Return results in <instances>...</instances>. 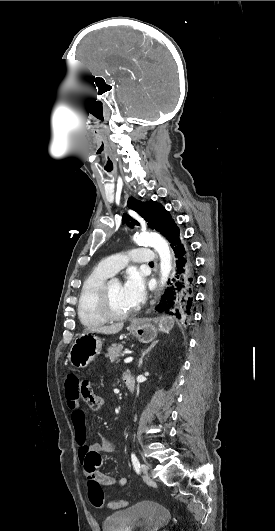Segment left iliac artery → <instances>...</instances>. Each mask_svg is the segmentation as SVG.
<instances>
[{
  "mask_svg": "<svg viewBox=\"0 0 275 531\" xmlns=\"http://www.w3.org/2000/svg\"><path fill=\"white\" fill-rule=\"evenodd\" d=\"M132 464L137 474L140 473V462L134 453L131 454Z\"/></svg>",
  "mask_w": 275,
  "mask_h": 531,
  "instance_id": "obj_1",
  "label": "left iliac artery"
}]
</instances>
